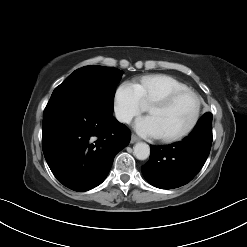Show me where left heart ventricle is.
Returning a JSON list of instances; mask_svg holds the SVG:
<instances>
[{"label": "left heart ventricle", "instance_id": "b2bd125f", "mask_svg": "<svg viewBox=\"0 0 247 247\" xmlns=\"http://www.w3.org/2000/svg\"><path fill=\"white\" fill-rule=\"evenodd\" d=\"M196 110V98L186 94L178 97L167 108L152 109L149 116L154 119L161 136L170 137L180 134L189 127Z\"/></svg>", "mask_w": 247, "mask_h": 247}]
</instances>
